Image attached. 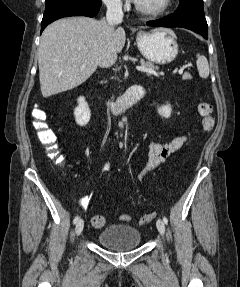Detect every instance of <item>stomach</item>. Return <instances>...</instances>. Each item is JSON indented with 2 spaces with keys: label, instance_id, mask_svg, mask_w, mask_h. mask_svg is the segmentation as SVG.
Here are the masks:
<instances>
[{
  "label": "stomach",
  "instance_id": "stomach-1",
  "mask_svg": "<svg viewBox=\"0 0 240 287\" xmlns=\"http://www.w3.org/2000/svg\"><path fill=\"white\" fill-rule=\"evenodd\" d=\"M136 43L141 54L153 63H170L178 54L176 35L168 28L139 32Z\"/></svg>",
  "mask_w": 240,
  "mask_h": 287
}]
</instances>
